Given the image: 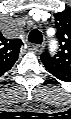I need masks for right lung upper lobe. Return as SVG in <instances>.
Listing matches in <instances>:
<instances>
[{"label":"right lung upper lobe","mask_w":71,"mask_h":119,"mask_svg":"<svg viewBox=\"0 0 71 119\" xmlns=\"http://www.w3.org/2000/svg\"><path fill=\"white\" fill-rule=\"evenodd\" d=\"M23 42L20 39L9 40L0 38V73L10 70L18 59L20 47Z\"/></svg>","instance_id":"cb5924a9"}]
</instances>
